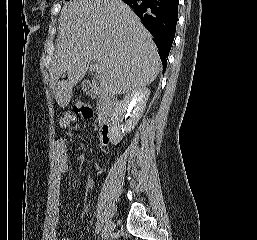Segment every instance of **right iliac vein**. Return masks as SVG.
Masks as SVG:
<instances>
[{"instance_id": "1", "label": "right iliac vein", "mask_w": 257, "mask_h": 240, "mask_svg": "<svg viewBox=\"0 0 257 240\" xmlns=\"http://www.w3.org/2000/svg\"><path fill=\"white\" fill-rule=\"evenodd\" d=\"M113 228H114V223L111 220H109L105 223L104 228L102 230V238L104 240L109 238V236L111 235V233L113 231Z\"/></svg>"}]
</instances>
